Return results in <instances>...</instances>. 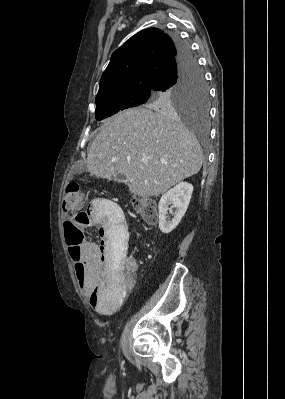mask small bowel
Here are the masks:
<instances>
[{"label": "small bowel", "instance_id": "obj_1", "mask_svg": "<svg viewBox=\"0 0 285 399\" xmlns=\"http://www.w3.org/2000/svg\"><path fill=\"white\" fill-rule=\"evenodd\" d=\"M106 211L109 217L105 220L103 215ZM87 214L90 222L85 226L96 230L100 243L83 242L75 266L83 267L80 286L89 293L93 309L100 314H110L123 301L127 290L133 287L132 273L137 264L134 256H117V246L124 238L119 220L126 230L127 225L113 203L106 198H94L88 203Z\"/></svg>", "mask_w": 285, "mask_h": 399}]
</instances>
